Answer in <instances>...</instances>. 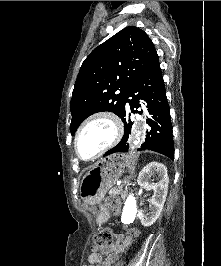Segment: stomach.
I'll use <instances>...</instances> for the list:
<instances>
[{"mask_svg":"<svg viewBox=\"0 0 221 266\" xmlns=\"http://www.w3.org/2000/svg\"><path fill=\"white\" fill-rule=\"evenodd\" d=\"M125 155L116 153L100 159L83 176L80 196L87 205L100 204L107 191L116 183L124 168ZM101 211L98 220L104 218Z\"/></svg>","mask_w":221,"mask_h":266,"instance_id":"1","label":"stomach"}]
</instances>
